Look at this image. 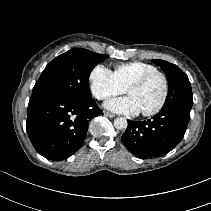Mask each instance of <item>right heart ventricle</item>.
I'll return each mask as SVG.
<instances>
[{"mask_svg":"<svg viewBox=\"0 0 211 211\" xmlns=\"http://www.w3.org/2000/svg\"><path fill=\"white\" fill-rule=\"evenodd\" d=\"M156 70L157 68L152 64L134 61L117 65L113 73L118 82L126 89L138 78Z\"/></svg>","mask_w":211,"mask_h":211,"instance_id":"obj_1","label":"right heart ventricle"}]
</instances>
